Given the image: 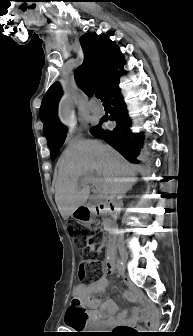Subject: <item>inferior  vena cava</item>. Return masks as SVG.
Wrapping results in <instances>:
<instances>
[{
  "label": "inferior vena cava",
  "instance_id": "obj_1",
  "mask_svg": "<svg viewBox=\"0 0 193 336\" xmlns=\"http://www.w3.org/2000/svg\"><path fill=\"white\" fill-rule=\"evenodd\" d=\"M119 198V197H118ZM120 202V200L119 199H117V201H116V203H119Z\"/></svg>",
  "mask_w": 193,
  "mask_h": 336
}]
</instances>
